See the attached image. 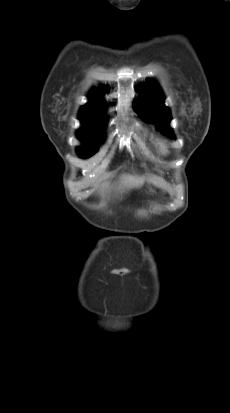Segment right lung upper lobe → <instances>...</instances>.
Instances as JSON below:
<instances>
[{
  "mask_svg": "<svg viewBox=\"0 0 230 413\" xmlns=\"http://www.w3.org/2000/svg\"><path fill=\"white\" fill-rule=\"evenodd\" d=\"M102 90V89H101ZM102 92V91H101ZM98 93L96 90H93L90 93V98L95 99L97 98ZM104 102H91L88 103L84 106H82L80 112H79V119L83 124V128H88L95 126L99 123L105 122V116H103L104 113Z\"/></svg>",
  "mask_w": 230,
  "mask_h": 413,
  "instance_id": "obj_1",
  "label": "right lung upper lobe"
}]
</instances>
